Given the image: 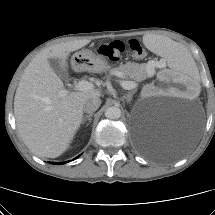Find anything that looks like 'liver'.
Returning a JSON list of instances; mask_svg holds the SVG:
<instances>
[{"label":"liver","instance_id":"liver-1","mask_svg":"<svg viewBox=\"0 0 215 215\" xmlns=\"http://www.w3.org/2000/svg\"><path fill=\"white\" fill-rule=\"evenodd\" d=\"M90 39L72 40L43 49L28 64L14 97V115L19 135L26 147L39 157L56 158L64 153L83 119V104L100 97L98 90L72 91L61 97L62 80L48 59H60L67 67L73 51Z\"/></svg>","mask_w":215,"mask_h":215}]
</instances>
